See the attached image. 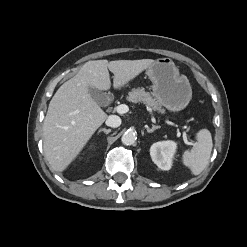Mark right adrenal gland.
Listing matches in <instances>:
<instances>
[{
  "label": "right adrenal gland",
  "mask_w": 247,
  "mask_h": 247,
  "mask_svg": "<svg viewBox=\"0 0 247 247\" xmlns=\"http://www.w3.org/2000/svg\"><path fill=\"white\" fill-rule=\"evenodd\" d=\"M101 132H104L106 135H108V134L111 132V129H105V128L100 129V130L98 131V134L101 133Z\"/></svg>",
  "instance_id": "2a0ac1e0"
}]
</instances>
